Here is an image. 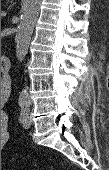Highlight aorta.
<instances>
[{"instance_id":"obj_1","label":"aorta","mask_w":109,"mask_h":170,"mask_svg":"<svg viewBox=\"0 0 109 170\" xmlns=\"http://www.w3.org/2000/svg\"><path fill=\"white\" fill-rule=\"evenodd\" d=\"M40 5L41 0H24L23 14L16 37V57L20 63L28 52L31 36L39 15ZM19 102L25 104L30 102L29 94L26 90L20 92Z\"/></svg>"}]
</instances>
